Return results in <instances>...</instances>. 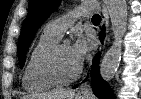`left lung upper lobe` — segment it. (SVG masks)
<instances>
[{
  "label": "left lung upper lobe",
  "mask_w": 141,
  "mask_h": 99,
  "mask_svg": "<svg viewBox=\"0 0 141 99\" xmlns=\"http://www.w3.org/2000/svg\"><path fill=\"white\" fill-rule=\"evenodd\" d=\"M60 3V0H30L28 15L24 21L18 44L21 68L24 65L25 55L36 31Z\"/></svg>",
  "instance_id": "left-lung-upper-lobe-1"
}]
</instances>
